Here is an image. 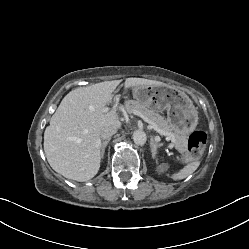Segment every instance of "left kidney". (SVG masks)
Here are the masks:
<instances>
[{
  "label": "left kidney",
  "mask_w": 249,
  "mask_h": 249,
  "mask_svg": "<svg viewBox=\"0 0 249 249\" xmlns=\"http://www.w3.org/2000/svg\"><path fill=\"white\" fill-rule=\"evenodd\" d=\"M167 168H168V165L165 164V163H163V164H161V165L158 166L157 171L159 173H161V172H164L165 170H167Z\"/></svg>",
  "instance_id": "left-kidney-1"
}]
</instances>
